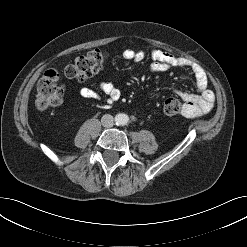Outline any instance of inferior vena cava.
<instances>
[{"instance_id": "obj_1", "label": "inferior vena cava", "mask_w": 247, "mask_h": 247, "mask_svg": "<svg viewBox=\"0 0 247 247\" xmlns=\"http://www.w3.org/2000/svg\"><path fill=\"white\" fill-rule=\"evenodd\" d=\"M101 123L104 127L106 128H110L114 125V118L112 115L110 114H105L103 115V117L101 118Z\"/></svg>"}]
</instances>
